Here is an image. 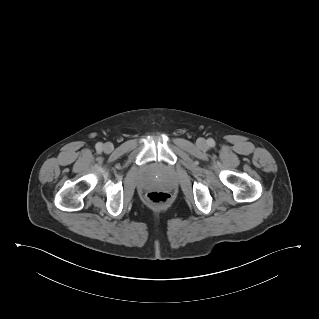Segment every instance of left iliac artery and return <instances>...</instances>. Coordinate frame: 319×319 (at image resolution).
I'll return each mask as SVG.
<instances>
[{
  "instance_id": "44dca946",
  "label": "left iliac artery",
  "mask_w": 319,
  "mask_h": 319,
  "mask_svg": "<svg viewBox=\"0 0 319 319\" xmlns=\"http://www.w3.org/2000/svg\"><path fill=\"white\" fill-rule=\"evenodd\" d=\"M208 145L211 146V147L215 146V141L213 139H211V138L208 139Z\"/></svg>"
}]
</instances>
